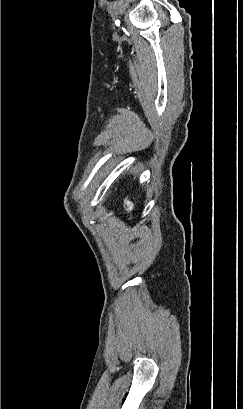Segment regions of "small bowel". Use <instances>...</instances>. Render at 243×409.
Segmentation results:
<instances>
[{
	"mask_svg": "<svg viewBox=\"0 0 243 409\" xmlns=\"http://www.w3.org/2000/svg\"><path fill=\"white\" fill-rule=\"evenodd\" d=\"M125 206H126V208H127L128 210H131L132 207H133L132 202H130V201H126Z\"/></svg>",
	"mask_w": 243,
	"mask_h": 409,
	"instance_id": "c3829d8e",
	"label": "small bowel"
}]
</instances>
